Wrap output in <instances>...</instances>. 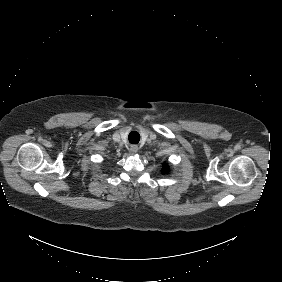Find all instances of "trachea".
<instances>
[{"label":"trachea","mask_w":282,"mask_h":282,"mask_svg":"<svg viewBox=\"0 0 282 282\" xmlns=\"http://www.w3.org/2000/svg\"><path fill=\"white\" fill-rule=\"evenodd\" d=\"M128 140H129V142L132 143V144H137V143H139V140H140V135H139V133L136 132V131L130 132L129 135H128Z\"/></svg>","instance_id":"3493384b"}]
</instances>
